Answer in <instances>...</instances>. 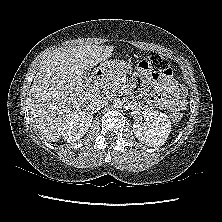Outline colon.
I'll use <instances>...</instances> for the list:
<instances>
[{
  "label": "colon",
  "mask_w": 222,
  "mask_h": 222,
  "mask_svg": "<svg viewBox=\"0 0 222 222\" xmlns=\"http://www.w3.org/2000/svg\"><path fill=\"white\" fill-rule=\"evenodd\" d=\"M169 69L165 60L159 54H151L148 59L142 62L137 72L138 73H153L160 71L161 73L167 72ZM181 113L176 111L171 115L173 122H179L181 120Z\"/></svg>",
  "instance_id": "5ec220e1"
}]
</instances>
